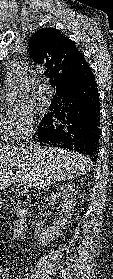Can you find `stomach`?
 <instances>
[{"instance_id": "0dacf381", "label": "stomach", "mask_w": 113, "mask_h": 279, "mask_svg": "<svg viewBox=\"0 0 113 279\" xmlns=\"http://www.w3.org/2000/svg\"><path fill=\"white\" fill-rule=\"evenodd\" d=\"M1 205H2V199L0 198V207H1Z\"/></svg>"}]
</instances>
